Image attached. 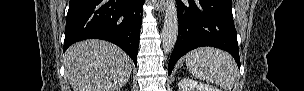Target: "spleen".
Masks as SVG:
<instances>
[{
	"mask_svg": "<svg viewBox=\"0 0 304 91\" xmlns=\"http://www.w3.org/2000/svg\"><path fill=\"white\" fill-rule=\"evenodd\" d=\"M186 66L197 79L214 83L231 91L236 80L237 66L230 54L203 47L186 55Z\"/></svg>",
	"mask_w": 304,
	"mask_h": 91,
	"instance_id": "obj_1",
	"label": "spleen"
}]
</instances>
